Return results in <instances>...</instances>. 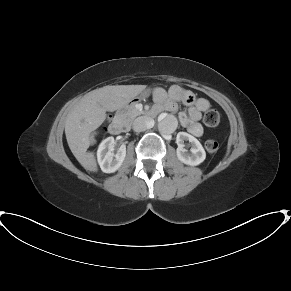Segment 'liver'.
Returning <instances> with one entry per match:
<instances>
[{"label": "liver", "instance_id": "6515ba94", "mask_svg": "<svg viewBox=\"0 0 291 291\" xmlns=\"http://www.w3.org/2000/svg\"><path fill=\"white\" fill-rule=\"evenodd\" d=\"M146 88L145 85L105 86L86 94L68 113L65 135L77 161L86 170L97 172L93 152H87L91 134L106 119V111H115L130 102Z\"/></svg>", "mask_w": 291, "mask_h": 291}]
</instances>
